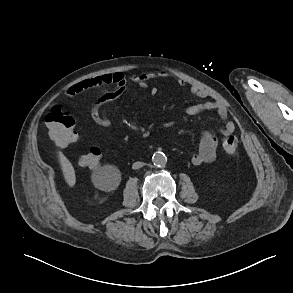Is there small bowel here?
I'll use <instances>...</instances> for the list:
<instances>
[{
    "label": "small bowel",
    "mask_w": 293,
    "mask_h": 293,
    "mask_svg": "<svg viewBox=\"0 0 293 293\" xmlns=\"http://www.w3.org/2000/svg\"><path fill=\"white\" fill-rule=\"evenodd\" d=\"M171 75L167 72H149L145 74H139L132 77L134 82L140 88H147L148 81L155 78H170ZM176 82L181 87H186L187 82L184 79L176 78ZM127 88V79L122 73L114 72L104 75H98L84 79L79 83L69 87L67 89V95L74 96L87 89H104L102 95L92 105L90 110V116L92 121L101 127H109L112 124L111 119L105 113L104 108L117 100ZM190 91L193 95L199 98H207L208 92L198 85H191ZM151 94L156 95L157 89L152 88ZM215 111L222 120L227 118V109L224 105L213 101H204L190 105L186 108V114L188 116H196L202 112ZM235 131V125L232 121H227L221 128L222 135H229ZM218 147V140L215 134L209 130L202 132L199 150L191 157V163L195 166L209 164L216 158V152Z\"/></svg>",
    "instance_id": "1"
}]
</instances>
